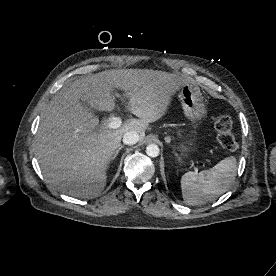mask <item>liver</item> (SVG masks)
<instances>
[{
	"label": "liver",
	"mask_w": 276,
	"mask_h": 276,
	"mask_svg": "<svg viewBox=\"0 0 276 276\" xmlns=\"http://www.w3.org/2000/svg\"><path fill=\"white\" fill-rule=\"evenodd\" d=\"M186 83L164 71L119 69L82 77L62 87L41 114L36 135L35 154L46 181L71 196L98 197L124 134L136 131L144 140L149 123L166 113L172 96ZM114 89L125 92L127 108L139 119L95 132L99 119L83 103L95 110L112 111Z\"/></svg>",
	"instance_id": "6515ba94"
}]
</instances>
